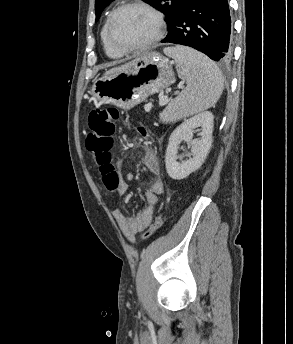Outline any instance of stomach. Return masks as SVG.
<instances>
[{
  "label": "stomach",
  "instance_id": "stomach-1",
  "mask_svg": "<svg viewBox=\"0 0 293 344\" xmlns=\"http://www.w3.org/2000/svg\"><path fill=\"white\" fill-rule=\"evenodd\" d=\"M174 82L169 60L157 52H148L132 67L96 80L91 94L99 103L129 110Z\"/></svg>",
  "mask_w": 293,
  "mask_h": 344
}]
</instances>
